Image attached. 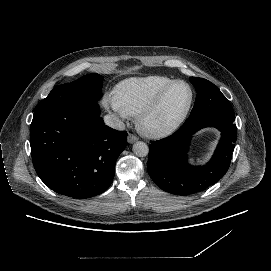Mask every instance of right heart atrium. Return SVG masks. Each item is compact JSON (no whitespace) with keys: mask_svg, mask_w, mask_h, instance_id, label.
Instances as JSON below:
<instances>
[{"mask_svg":"<svg viewBox=\"0 0 271 271\" xmlns=\"http://www.w3.org/2000/svg\"><path fill=\"white\" fill-rule=\"evenodd\" d=\"M108 103L109 105L114 109L115 112H117L120 116L125 117L126 114L122 107L120 106L117 97L114 94H110L108 96Z\"/></svg>","mask_w":271,"mask_h":271,"instance_id":"d8ad5b80","label":"right heart atrium"}]
</instances>
